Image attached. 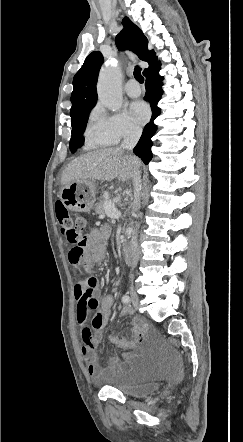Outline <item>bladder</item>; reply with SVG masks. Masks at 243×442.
<instances>
[{
    "label": "bladder",
    "instance_id": "obj_1",
    "mask_svg": "<svg viewBox=\"0 0 243 442\" xmlns=\"http://www.w3.org/2000/svg\"><path fill=\"white\" fill-rule=\"evenodd\" d=\"M155 371L153 358L141 353L128 354L118 363L104 387L132 397L147 396L159 389Z\"/></svg>",
    "mask_w": 243,
    "mask_h": 442
}]
</instances>
